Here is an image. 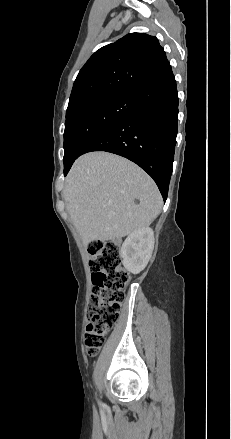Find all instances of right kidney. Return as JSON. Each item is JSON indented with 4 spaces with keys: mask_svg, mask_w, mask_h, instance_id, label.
Wrapping results in <instances>:
<instances>
[{
    "mask_svg": "<svg viewBox=\"0 0 231 439\" xmlns=\"http://www.w3.org/2000/svg\"><path fill=\"white\" fill-rule=\"evenodd\" d=\"M154 232L146 227L134 230L122 244L120 255L124 267L133 274L142 271L152 255Z\"/></svg>",
    "mask_w": 231,
    "mask_h": 439,
    "instance_id": "1",
    "label": "right kidney"
}]
</instances>
